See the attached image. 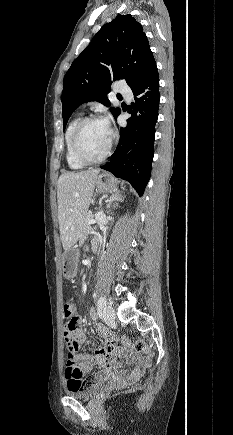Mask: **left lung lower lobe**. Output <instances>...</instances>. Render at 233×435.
Returning a JSON list of instances; mask_svg holds the SVG:
<instances>
[{
  "label": "left lung lower lobe",
  "mask_w": 233,
  "mask_h": 435,
  "mask_svg": "<svg viewBox=\"0 0 233 435\" xmlns=\"http://www.w3.org/2000/svg\"><path fill=\"white\" fill-rule=\"evenodd\" d=\"M131 89L135 97L128 112L132 116L127 119V126L120 128L121 139L112 159L101 168L130 182L142 196L151 175L158 119L160 95L156 63Z\"/></svg>",
  "instance_id": "left-lung-lower-lobe-1"
}]
</instances>
